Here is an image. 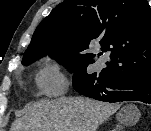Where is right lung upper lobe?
I'll return each instance as SVG.
<instances>
[{
  "instance_id": "obj_1",
  "label": "right lung upper lobe",
  "mask_w": 151,
  "mask_h": 131,
  "mask_svg": "<svg viewBox=\"0 0 151 131\" xmlns=\"http://www.w3.org/2000/svg\"><path fill=\"white\" fill-rule=\"evenodd\" d=\"M68 45L110 52L103 76L151 73V9L146 0H66L36 28L29 47ZM100 55V53L98 54Z\"/></svg>"
}]
</instances>
